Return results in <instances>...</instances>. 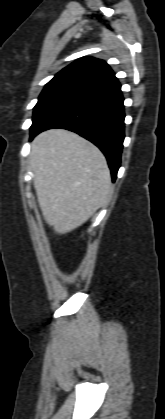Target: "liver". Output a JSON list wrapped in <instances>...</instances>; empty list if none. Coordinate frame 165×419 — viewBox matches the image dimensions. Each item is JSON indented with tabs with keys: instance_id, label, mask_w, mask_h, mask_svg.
Returning a JSON list of instances; mask_svg holds the SVG:
<instances>
[{
	"instance_id": "obj_1",
	"label": "liver",
	"mask_w": 165,
	"mask_h": 419,
	"mask_svg": "<svg viewBox=\"0 0 165 419\" xmlns=\"http://www.w3.org/2000/svg\"><path fill=\"white\" fill-rule=\"evenodd\" d=\"M30 163L39 207L56 233L81 226L109 201L112 185L105 156L73 132L39 134L31 145Z\"/></svg>"
}]
</instances>
